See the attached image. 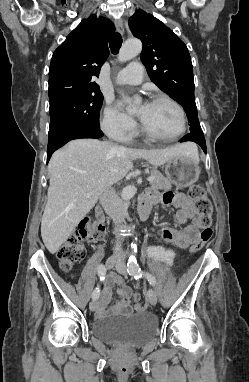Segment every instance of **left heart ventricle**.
Segmentation results:
<instances>
[{
    "instance_id": "b2bd125f",
    "label": "left heart ventricle",
    "mask_w": 249,
    "mask_h": 382,
    "mask_svg": "<svg viewBox=\"0 0 249 382\" xmlns=\"http://www.w3.org/2000/svg\"><path fill=\"white\" fill-rule=\"evenodd\" d=\"M138 113L144 126L157 136L172 137L180 131V116L167 102L149 103L140 107Z\"/></svg>"
}]
</instances>
